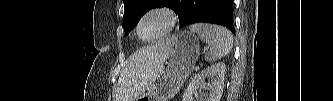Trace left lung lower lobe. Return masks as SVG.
Instances as JSON below:
<instances>
[{"mask_svg":"<svg viewBox=\"0 0 333 101\" xmlns=\"http://www.w3.org/2000/svg\"><path fill=\"white\" fill-rule=\"evenodd\" d=\"M180 28L198 22H208L227 27L233 26V0H179Z\"/></svg>","mask_w":333,"mask_h":101,"instance_id":"1","label":"left lung lower lobe"}]
</instances>
